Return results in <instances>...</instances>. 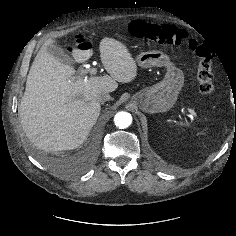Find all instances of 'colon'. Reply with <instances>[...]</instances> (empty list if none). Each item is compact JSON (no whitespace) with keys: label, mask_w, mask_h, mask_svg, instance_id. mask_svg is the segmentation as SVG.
Instances as JSON below:
<instances>
[{"label":"colon","mask_w":236,"mask_h":236,"mask_svg":"<svg viewBox=\"0 0 236 236\" xmlns=\"http://www.w3.org/2000/svg\"><path fill=\"white\" fill-rule=\"evenodd\" d=\"M130 31L133 36L153 43L174 46L186 43L200 59L197 70L200 92L204 95H212L215 92L212 76L213 53L208 45L191 38L186 31L168 24H153L134 20L130 25ZM80 46L87 49L90 45L86 40H81Z\"/></svg>","instance_id":"5ec220e1"}]
</instances>
